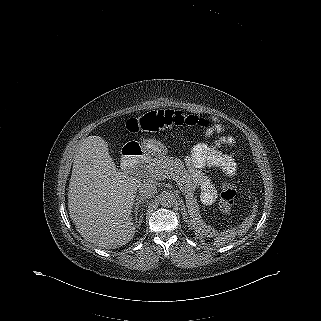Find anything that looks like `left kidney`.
Here are the masks:
<instances>
[{
	"label": "left kidney",
	"instance_id": "1",
	"mask_svg": "<svg viewBox=\"0 0 321 321\" xmlns=\"http://www.w3.org/2000/svg\"><path fill=\"white\" fill-rule=\"evenodd\" d=\"M192 222L193 223H191V224H193V226H196V228L201 230L202 233H210L211 232V229L209 227L207 228L202 220L197 219V218H193Z\"/></svg>",
	"mask_w": 321,
	"mask_h": 321
}]
</instances>
